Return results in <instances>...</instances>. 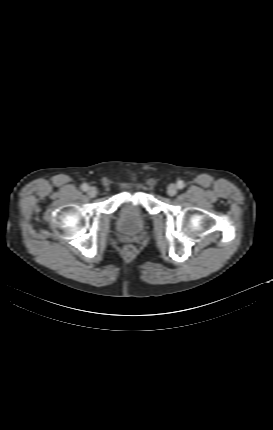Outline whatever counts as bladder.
Wrapping results in <instances>:
<instances>
[{
	"instance_id": "31cf9c89",
	"label": "bladder",
	"mask_w": 273,
	"mask_h": 430,
	"mask_svg": "<svg viewBox=\"0 0 273 430\" xmlns=\"http://www.w3.org/2000/svg\"><path fill=\"white\" fill-rule=\"evenodd\" d=\"M147 217L143 210L131 202L120 206L116 215L118 229L126 234H134L143 230Z\"/></svg>"
}]
</instances>
